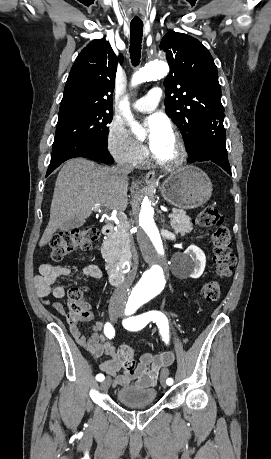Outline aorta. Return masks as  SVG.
I'll list each match as a JSON object with an SVG mask.
<instances>
[{
    "mask_svg": "<svg viewBox=\"0 0 271 459\" xmlns=\"http://www.w3.org/2000/svg\"><path fill=\"white\" fill-rule=\"evenodd\" d=\"M168 73L165 62L154 60L135 73L132 85L161 79ZM125 114L131 121L128 103L124 101ZM136 134H142L137 124H131ZM132 215L135 221L136 237L148 269L137 284V289L148 296H156L164 289L168 271L167 248L160 236L156 222L155 205L151 196L142 189H136L132 199Z\"/></svg>",
    "mask_w": 271,
    "mask_h": 459,
    "instance_id": "1",
    "label": "aorta"
}]
</instances>
